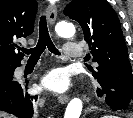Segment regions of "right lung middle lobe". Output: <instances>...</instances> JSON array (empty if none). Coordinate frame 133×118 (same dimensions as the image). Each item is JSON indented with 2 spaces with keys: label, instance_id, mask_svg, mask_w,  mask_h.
Listing matches in <instances>:
<instances>
[{
  "label": "right lung middle lobe",
  "instance_id": "right-lung-middle-lobe-1",
  "mask_svg": "<svg viewBox=\"0 0 133 118\" xmlns=\"http://www.w3.org/2000/svg\"><path fill=\"white\" fill-rule=\"evenodd\" d=\"M14 70L15 67L13 66H0V82L11 80Z\"/></svg>",
  "mask_w": 133,
  "mask_h": 118
}]
</instances>
